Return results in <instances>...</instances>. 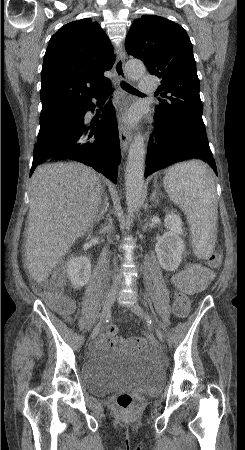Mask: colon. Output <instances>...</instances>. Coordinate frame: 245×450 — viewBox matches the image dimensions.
Here are the masks:
<instances>
[{"label": "colon", "instance_id": "5ec220e1", "mask_svg": "<svg viewBox=\"0 0 245 450\" xmlns=\"http://www.w3.org/2000/svg\"><path fill=\"white\" fill-rule=\"evenodd\" d=\"M208 265L212 268H218L221 264L219 253H212L207 259ZM64 277L62 275L52 274L38 285V293L45 297L52 309L66 317L74 310L73 301L63 294ZM191 302L189 297L181 289H176L173 295V308L175 314L184 318L190 311ZM108 335L112 345L116 348L124 349L130 352H137L146 346L143 338H122L116 335V328H108ZM133 398L129 393H121L117 397V406L121 412H127L131 407Z\"/></svg>", "mask_w": 245, "mask_h": 450}]
</instances>
